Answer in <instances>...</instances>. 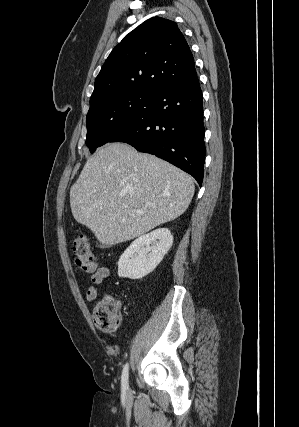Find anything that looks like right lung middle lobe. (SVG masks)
Listing matches in <instances>:
<instances>
[{"mask_svg": "<svg viewBox=\"0 0 299 427\" xmlns=\"http://www.w3.org/2000/svg\"><path fill=\"white\" fill-rule=\"evenodd\" d=\"M152 98L153 94L122 92L90 104L86 139L90 152L129 128L147 111Z\"/></svg>", "mask_w": 299, "mask_h": 427, "instance_id": "dd1d6c3e", "label": "right lung middle lobe"}]
</instances>
